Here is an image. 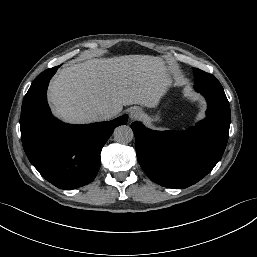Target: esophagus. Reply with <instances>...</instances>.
<instances>
[{"mask_svg":"<svg viewBox=\"0 0 257 257\" xmlns=\"http://www.w3.org/2000/svg\"><path fill=\"white\" fill-rule=\"evenodd\" d=\"M141 116V111L138 108H132L129 112L130 119L137 120Z\"/></svg>","mask_w":257,"mask_h":257,"instance_id":"obj_1","label":"esophagus"}]
</instances>
